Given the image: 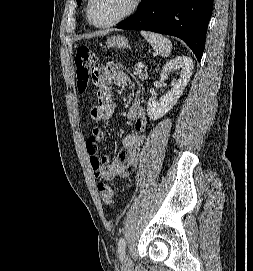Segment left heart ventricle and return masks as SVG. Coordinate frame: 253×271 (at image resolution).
Masks as SVG:
<instances>
[{
  "mask_svg": "<svg viewBox=\"0 0 253 271\" xmlns=\"http://www.w3.org/2000/svg\"><path fill=\"white\" fill-rule=\"evenodd\" d=\"M132 0H93L92 15L97 23H108L128 10Z\"/></svg>",
  "mask_w": 253,
  "mask_h": 271,
  "instance_id": "1",
  "label": "left heart ventricle"
}]
</instances>
